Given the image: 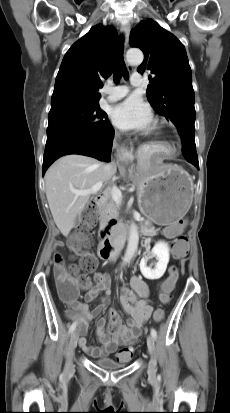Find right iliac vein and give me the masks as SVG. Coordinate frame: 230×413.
I'll use <instances>...</instances> for the list:
<instances>
[{"instance_id": "right-iliac-vein-1", "label": "right iliac vein", "mask_w": 230, "mask_h": 413, "mask_svg": "<svg viewBox=\"0 0 230 413\" xmlns=\"http://www.w3.org/2000/svg\"><path fill=\"white\" fill-rule=\"evenodd\" d=\"M78 342V333L73 331L70 336L69 350L67 355L66 369L70 371L73 368V355Z\"/></svg>"}]
</instances>
